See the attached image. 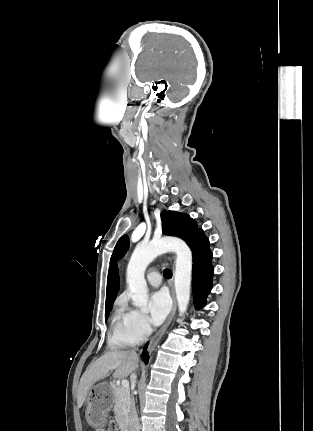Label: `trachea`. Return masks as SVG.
Segmentation results:
<instances>
[{
    "label": "trachea",
    "instance_id": "obj_1",
    "mask_svg": "<svg viewBox=\"0 0 313 431\" xmlns=\"http://www.w3.org/2000/svg\"><path fill=\"white\" fill-rule=\"evenodd\" d=\"M163 275L165 278H171L172 277V272L170 269H165L163 272Z\"/></svg>",
    "mask_w": 313,
    "mask_h": 431
}]
</instances>
